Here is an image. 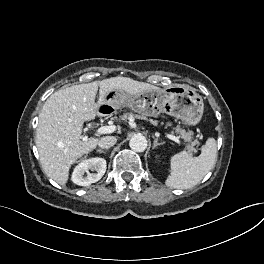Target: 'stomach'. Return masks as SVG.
I'll use <instances>...</instances> for the list:
<instances>
[{"instance_id": "1", "label": "stomach", "mask_w": 264, "mask_h": 264, "mask_svg": "<svg viewBox=\"0 0 264 264\" xmlns=\"http://www.w3.org/2000/svg\"><path fill=\"white\" fill-rule=\"evenodd\" d=\"M128 107L142 117H157L161 113L181 119L185 124H197L204 110L203 100L191 88L182 85L161 90L145 91L130 96L120 90H111L105 102L98 105L100 115H110L118 109Z\"/></svg>"}]
</instances>
